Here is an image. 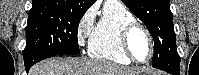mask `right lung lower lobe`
Listing matches in <instances>:
<instances>
[{
    "label": "right lung lower lobe",
    "mask_w": 199,
    "mask_h": 75,
    "mask_svg": "<svg viewBox=\"0 0 199 75\" xmlns=\"http://www.w3.org/2000/svg\"><path fill=\"white\" fill-rule=\"evenodd\" d=\"M36 55L33 54L31 55L30 57H25L24 58V63H25V69H26V72L28 73L29 69L31 68V66L33 64H35L36 62H39L37 61L39 58L35 57Z\"/></svg>",
    "instance_id": "1"
}]
</instances>
